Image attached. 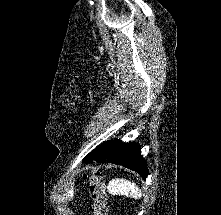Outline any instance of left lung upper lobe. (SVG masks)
I'll return each mask as SVG.
<instances>
[{"instance_id":"obj_1","label":"left lung upper lobe","mask_w":221,"mask_h":215,"mask_svg":"<svg viewBox=\"0 0 221 215\" xmlns=\"http://www.w3.org/2000/svg\"><path fill=\"white\" fill-rule=\"evenodd\" d=\"M108 145V142L105 144H102L98 146L95 150H93L91 153H89L83 160L85 163H91L93 162L96 158L101 157L105 151L106 147Z\"/></svg>"}]
</instances>
